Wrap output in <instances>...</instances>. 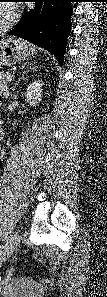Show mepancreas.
Returning a JSON list of instances; mask_svg holds the SVG:
<instances>
[{
    "mask_svg": "<svg viewBox=\"0 0 107 297\" xmlns=\"http://www.w3.org/2000/svg\"><path fill=\"white\" fill-rule=\"evenodd\" d=\"M11 76V73L9 72H1L0 73V87L1 89H6L7 84L9 83L8 77Z\"/></svg>",
    "mask_w": 107,
    "mask_h": 297,
    "instance_id": "obj_1",
    "label": "pancreas"
}]
</instances>
